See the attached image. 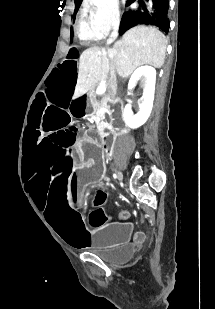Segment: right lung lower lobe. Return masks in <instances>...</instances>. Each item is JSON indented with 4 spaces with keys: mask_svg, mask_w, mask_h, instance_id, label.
Returning a JSON list of instances; mask_svg holds the SVG:
<instances>
[{
    "mask_svg": "<svg viewBox=\"0 0 215 309\" xmlns=\"http://www.w3.org/2000/svg\"><path fill=\"white\" fill-rule=\"evenodd\" d=\"M135 0H131L130 5ZM136 11H128L123 14L120 33H124L129 28L146 24L159 27L162 31L168 32V0H138Z\"/></svg>",
    "mask_w": 215,
    "mask_h": 309,
    "instance_id": "right-lung-lower-lobe-1",
    "label": "right lung lower lobe"
}]
</instances>
